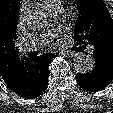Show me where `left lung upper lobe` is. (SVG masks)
<instances>
[{"instance_id":"1","label":"left lung upper lobe","mask_w":113,"mask_h":113,"mask_svg":"<svg viewBox=\"0 0 113 113\" xmlns=\"http://www.w3.org/2000/svg\"><path fill=\"white\" fill-rule=\"evenodd\" d=\"M79 18L74 38L78 44L103 43L113 48V21L103 0H76Z\"/></svg>"}]
</instances>
